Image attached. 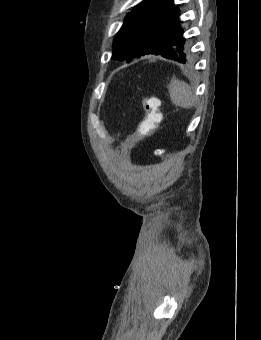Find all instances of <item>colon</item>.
<instances>
[{
  "label": "colon",
  "mask_w": 261,
  "mask_h": 340,
  "mask_svg": "<svg viewBox=\"0 0 261 340\" xmlns=\"http://www.w3.org/2000/svg\"><path fill=\"white\" fill-rule=\"evenodd\" d=\"M140 105L144 110V117L138 124L135 132L123 144L126 149L132 146L137 141L150 136L158 127L162 120L160 111L161 102L156 97H146L140 100Z\"/></svg>",
  "instance_id": "1"
}]
</instances>
